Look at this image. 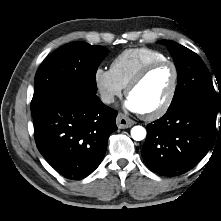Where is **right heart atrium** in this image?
I'll use <instances>...</instances> for the list:
<instances>
[{
	"mask_svg": "<svg viewBox=\"0 0 221 221\" xmlns=\"http://www.w3.org/2000/svg\"><path fill=\"white\" fill-rule=\"evenodd\" d=\"M93 79L99 96L105 104H112L117 97L122 95L123 87L110 70L102 67L96 68Z\"/></svg>",
	"mask_w": 221,
	"mask_h": 221,
	"instance_id": "d8ad5b80",
	"label": "right heart atrium"
}]
</instances>
